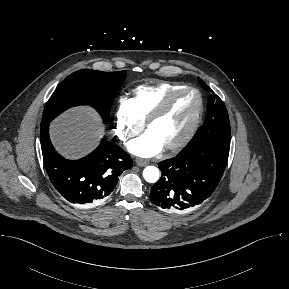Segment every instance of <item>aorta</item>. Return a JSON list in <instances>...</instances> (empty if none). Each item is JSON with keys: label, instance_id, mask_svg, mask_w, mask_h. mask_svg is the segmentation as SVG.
Here are the masks:
<instances>
[{"label": "aorta", "instance_id": "1", "mask_svg": "<svg viewBox=\"0 0 289 289\" xmlns=\"http://www.w3.org/2000/svg\"><path fill=\"white\" fill-rule=\"evenodd\" d=\"M144 179L149 183H155L159 179V169L155 166H147L143 171Z\"/></svg>", "mask_w": 289, "mask_h": 289}]
</instances>
